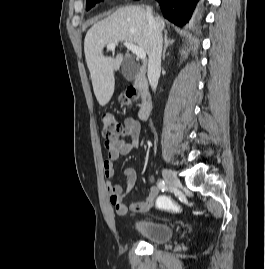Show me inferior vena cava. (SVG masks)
Listing matches in <instances>:
<instances>
[{
    "mask_svg": "<svg viewBox=\"0 0 265 269\" xmlns=\"http://www.w3.org/2000/svg\"><path fill=\"white\" fill-rule=\"evenodd\" d=\"M147 18L151 43V51L148 60V80L152 89L155 91L161 71L163 37L161 29L155 21L150 7H147Z\"/></svg>",
    "mask_w": 265,
    "mask_h": 269,
    "instance_id": "602c4592",
    "label": "inferior vena cava"
}]
</instances>
